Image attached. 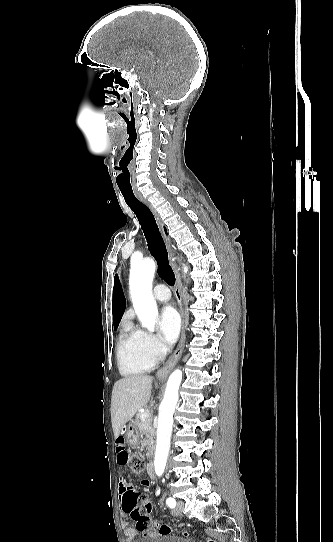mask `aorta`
<instances>
[{
    "instance_id": "762f6f07",
    "label": "aorta",
    "mask_w": 333,
    "mask_h": 542,
    "mask_svg": "<svg viewBox=\"0 0 333 542\" xmlns=\"http://www.w3.org/2000/svg\"><path fill=\"white\" fill-rule=\"evenodd\" d=\"M187 272V268H185ZM155 274V262L146 258L141 264L133 266L130 272V294L133 308L141 322L142 328L154 332L158 318L157 304L152 294V282ZM182 382L181 370H175L168 378L164 398L159 406L157 446L154 460L156 476H162L170 448L173 426V414L178 402L179 386Z\"/></svg>"
}]
</instances>
